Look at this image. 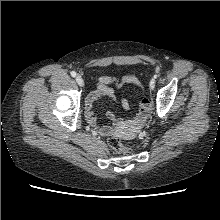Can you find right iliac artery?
<instances>
[{"mask_svg":"<svg viewBox=\"0 0 220 220\" xmlns=\"http://www.w3.org/2000/svg\"><path fill=\"white\" fill-rule=\"evenodd\" d=\"M71 76H72V77H75V76H76V72H75V71H72V72H71Z\"/></svg>","mask_w":220,"mask_h":220,"instance_id":"82829eb1","label":"right iliac artery"}]
</instances>
